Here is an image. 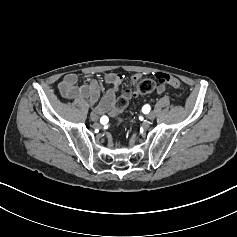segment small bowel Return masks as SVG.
<instances>
[{
	"mask_svg": "<svg viewBox=\"0 0 237 237\" xmlns=\"http://www.w3.org/2000/svg\"><path fill=\"white\" fill-rule=\"evenodd\" d=\"M140 77V74H135L132 77V81L136 82ZM104 80L111 85V88L101 98V87L97 80L90 79L87 82L79 83L77 75L73 73L65 75L58 88L64 98L87 101L94 108L92 114L102 116L107 114L113 107L122 85L123 77L118 73H108L105 75ZM164 90V85H159L156 92L162 94ZM125 96L129 97L130 92L126 91Z\"/></svg>",
	"mask_w": 237,
	"mask_h": 237,
	"instance_id": "small-bowel-1",
	"label": "small bowel"
}]
</instances>
